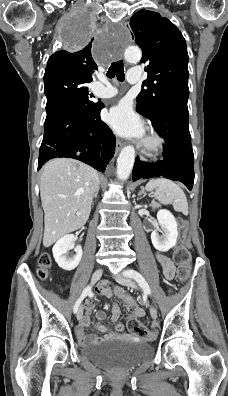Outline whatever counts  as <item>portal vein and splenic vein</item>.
Wrapping results in <instances>:
<instances>
[{
  "label": "portal vein and splenic vein",
  "mask_w": 228,
  "mask_h": 396,
  "mask_svg": "<svg viewBox=\"0 0 228 396\" xmlns=\"http://www.w3.org/2000/svg\"><path fill=\"white\" fill-rule=\"evenodd\" d=\"M76 214H77V216H80V215H81V213H80V212H77Z\"/></svg>",
  "instance_id": "obj_1"
}]
</instances>
